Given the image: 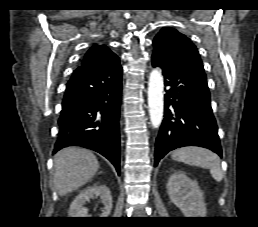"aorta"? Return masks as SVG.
<instances>
[{
    "label": "aorta",
    "instance_id": "1",
    "mask_svg": "<svg viewBox=\"0 0 258 227\" xmlns=\"http://www.w3.org/2000/svg\"><path fill=\"white\" fill-rule=\"evenodd\" d=\"M164 83L159 70H152L148 83V107L152 125L158 127L163 119L164 109Z\"/></svg>",
    "mask_w": 258,
    "mask_h": 227
}]
</instances>
